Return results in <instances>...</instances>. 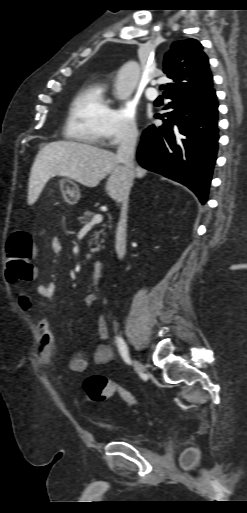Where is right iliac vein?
<instances>
[{"mask_svg":"<svg viewBox=\"0 0 247 513\" xmlns=\"http://www.w3.org/2000/svg\"><path fill=\"white\" fill-rule=\"evenodd\" d=\"M135 366L138 373H142L144 371V365L139 360L135 361Z\"/></svg>","mask_w":247,"mask_h":513,"instance_id":"obj_1","label":"right iliac vein"}]
</instances>
